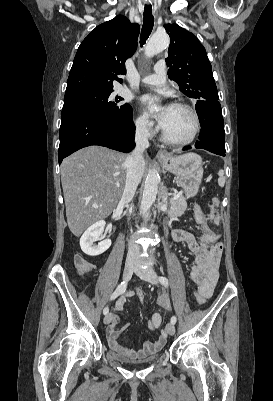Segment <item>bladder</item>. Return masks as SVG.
<instances>
[{
	"mask_svg": "<svg viewBox=\"0 0 273 401\" xmlns=\"http://www.w3.org/2000/svg\"><path fill=\"white\" fill-rule=\"evenodd\" d=\"M110 355L115 361H117V362H119L121 364L130 365V366L142 365V364H151V363L155 362L159 358L158 354H154V355L149 356V357H147L145 359H142V360L132 361V360H128V359L124 358L123 356L119 355L118 353H116L114 351H110Z\"/></svg>",
	"mask_w": 273,
	"mask_h": 401,
	"instance_id": "obj_1",
	"label": "bladder"
}]
</instances>
